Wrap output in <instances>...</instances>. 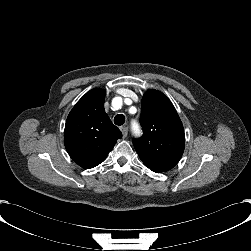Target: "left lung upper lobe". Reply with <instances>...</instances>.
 I'll return each instance as SVG.
<instances>
[{
  "label": "left lung upper lobe",
  "mask_w": 251,
  "mask_h": 251,
  "mask_svg": "<svg viewBox=\"0 0 251 251\" xmlns=\"http://www.w3.org/2000/svg\"><path fill=\"white\" fill-rule=\"evenodd\" d=\"M140 123L143 136L134 139V147L145 166L161 173L181 159L185 135L182 122L171 101L162 92L151 89L142 98Z\"/></svg>",
  "instance_id": "5c2ea615"
}]
</instances>
